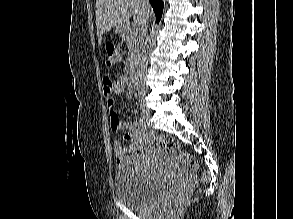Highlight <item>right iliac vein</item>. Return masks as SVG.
Instances as JSON below:
<instances>
[{
    "instance_id": "right-iliac-vein-1",
    "label": "right iliac vein",
    "mask_w": 293,
    "mask_h": 219,
    "mask_svg": "<svg viewBox=\"0 0 293 219\" xmlns=\"http://www.w3.org/2000/svg\"><path fill=\"white\" fill-rule=\"evenodd\" d=\"M140 110H141V116H142V118H144L146 121H148V119L150 117V111H149V109L144 104H141L140 105Z\"/></svg>"
}]
</instances>
